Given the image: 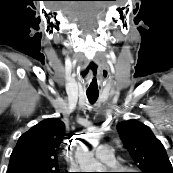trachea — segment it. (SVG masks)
<instances>
[{
  "label": "trachea",
  "instance_id": "3493384b",
  "mask_svg": "<svg viewBox=\"0 0 173 173\" xmlns=\"http://www.w3.org/2000/svg\"><path fill=\"white\" fill-rule=\"evenodd\" d=\"M87 98H88L89 102L91 104H93L98 99V94L87 93Z\"/></svg>",
  "mask_w": 173,
  "mask_h": 173
}]
</instances>
